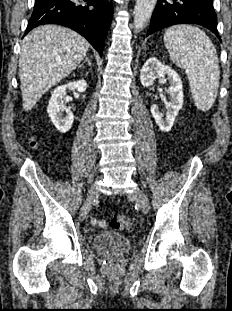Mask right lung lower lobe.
Instances as JSON below:
<instances>
[{
  "mask_svg": "<svg viewBox=\"0 0 232 311\" xmlns=\"http://www.w3.org/2000/svg\"><path fill=\"white\" fill-rule=\"evenodd\" d=\"M36 0L25 34L44 24L69 27L82 36L102 56L105 38L111 24L112 0Z\"/></svg>",
  "mask_w": 232,
  "mask_h": 311,
  "instance_id": "right-lung-lower-lobe-1",
  "label": "right lung lower lobe"
}]
</instances>
